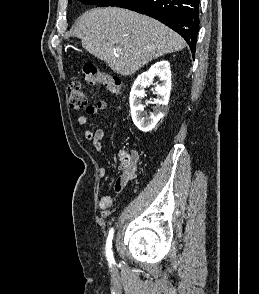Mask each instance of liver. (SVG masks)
Returning <instances> with one entry per match:
<instances>
[{"mask_svg":"<svg viewBox=\"0 0 259 294\" xmlns=\"http://www.w3.org/2000/svg\"><path fill=\"white\" fill-rule=\"evenodd\" d=\"M82 47L117 74H134L149 61L185 47L184 39L161 22L117 7L83 13L70 30ZM120 47L121 52L116 48Z\"/></svg>","mask_w":259,"mask_h":294,"instance_id":"6515ba94","label":"liver"}]
</instances>
